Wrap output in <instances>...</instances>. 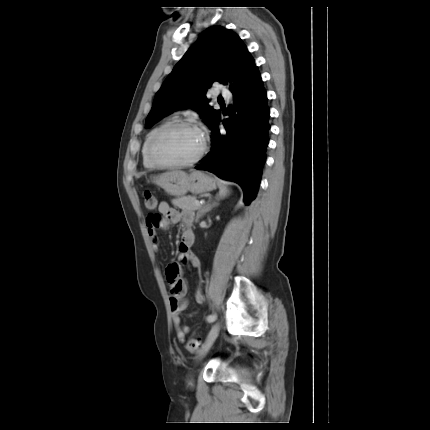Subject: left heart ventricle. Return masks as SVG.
I'll list each match as a JSON object with an SVG mask.
<instances>
[{"instance_id": "b2bd125f", "label": "left heart ventricle", "mask_w": 430, "mask_h": 430, "mask_svg": "<svg viewBox=\"0 0 430 430\" xmlns=\"http://www.w3.org/2000/svg\"><path fill=\"white\" fill-rule=\"evenodd\" d=\"M203 136L194 129L173 130L157 141L155 155L165 162H182L194 158L201 150Z\"/></svg>"}]
</instances>
